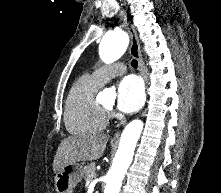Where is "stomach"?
Instances as JSON below:
<instances>
[{"label":"stomach","mask_w":221,"mask_h":193,"mask_svg":"<svg viewBox=\"0 0 221 193\" xmlns=\"http://www.w3.org/2000/svg\"><path fill=\"white\" fill-rule=\"evenodd\" d=\"M82 177L83 167L81 164L75 163L64 166L55 175L57 193H72Z\"/></svg>","instance_id":"stomach-1"}]
</instances>
